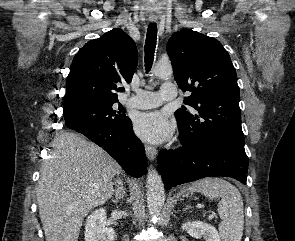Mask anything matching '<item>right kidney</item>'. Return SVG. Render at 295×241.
Wrapping results in <instances>:
<instances>
[{"label": "right kidney", "mask_w": 295, "mask_h": 241, "mask_svg": "<svg viewBox=\"0 0 295 241\" xmlns=\"http://www.w3.org/2000/svg\"><path fill=\"white\" fill-rule=\"evenodd\" d=\"M114 229L107 226L104 208L96 209L88 216L85 224V241H114Z\"/></svg>", "instance_id": "1"}]
</instances>
